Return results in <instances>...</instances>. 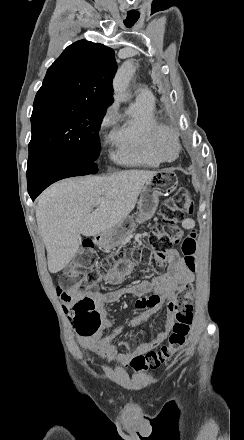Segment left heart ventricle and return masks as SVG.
Here are the masks:
<instances>
[{"mask_svg": "<svg viewBox=\"0 0 244 440\" xmlns=\"http://www.w3.org/2000/svg\"><path fill=\"white\" fill-rule=\"evenodd\" d=\"M161 148L168 156H171L173 154V149H174V144L172 139L169 137L163 138Z\"/></svg>", "mask_w": 244, "mask_h": 440, "instance_id": "1", "label": "left heart ventricle"}]
</instances>
